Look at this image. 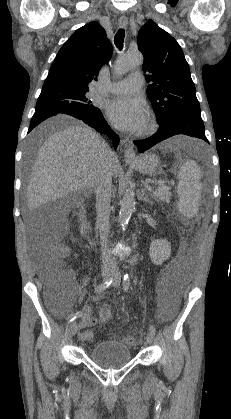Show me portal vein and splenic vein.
<instances>
[{
  "label": "portal vein and splenic vein",
  "instance_id": "obj_1",
  "mask_svg": "<svg viewBox=\"0 0 231 419\" xmlns=\"http://www.w3.org/2000/svg\"><path fill=\"white\" fill-rule=\"evenodd\" d=\"M149 188H151V187L149 186ZM158 188H163V189H166V188H167V186H166V185H164V184H163V182H160V186H159Z\"/></svg>",
  "mask_w": 231,
  "mask_h": 419
}]
</instances>
